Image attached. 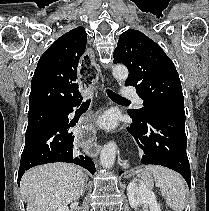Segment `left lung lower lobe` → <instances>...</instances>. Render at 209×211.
Wrapping results in <instances>:
<instances>
[{
    "instance_id": "left-lung-lower-lobe-1",
    "label": "left lung lower lobe",
    "mask_w": 209,
    "mask_h": 211,
    "mask_svg": "<svg viewBox=\"0 0 209 211\" xmlns=\"http://www.w3.org/2000/svg\"><path fill=\"white\" fill-rule=\"evenodd\" d=\"M128 114L133 124L127 129L144 151L141 162L162 165L179 172L191 188L184 109H152L145 117H139L130 110Z\"/></svg>"
}]
</instances>
